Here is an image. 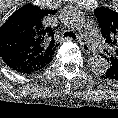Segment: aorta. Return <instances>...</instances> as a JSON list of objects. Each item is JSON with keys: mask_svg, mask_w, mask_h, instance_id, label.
<instances>
[{"mask_svg": "<svg viewBox=\"0 0 118 118\" xmlns=\"http://www.w3.org/2000/svg\"><path fill=\"white\" fill-rule=\"evenodd\" d=\"M62 22L73 30H80L84 25L82 13L75 7L66 8L61 14ZM88 67L94 74H104L108 69V62L101 56L88 59Z\"/></svg>", "mask_w": 118, "mask_h": 118, "instance_id": "obj_1", "label": "aorta"}]
</instances>
